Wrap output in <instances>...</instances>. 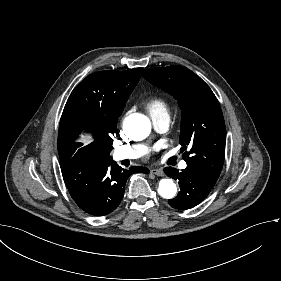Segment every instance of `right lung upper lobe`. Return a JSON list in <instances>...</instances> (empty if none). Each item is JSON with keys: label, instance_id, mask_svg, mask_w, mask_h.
Returning a JSON list of instances; mask_svg holds the SVG:
<instances>
[{"label": "right lung upper lobe", "instance_id": "1", "mask_svg": "<svg viewBox=\"0 0 281 281\" xmlns=\"http://www.w3.org/2000/svg\"><path fill=\"white\" fill-rule=\"evenodd\" d=\"M142 68L127 71H101L86 77L72 91L64 107L58 132V152L72 148V154L90 152L112 159V135L116 132L129 95L141 77ZM92 134L94 140L83 146L79 134Z\"/></svg>", "mask_w": 281, "mask_h": 281}]
</instances>
